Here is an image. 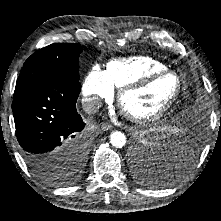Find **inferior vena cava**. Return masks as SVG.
Returning <instances> with one entry per match:
<instances>
[{
  "label": "inferior vena cava",
  "instance_id": "obj_1",
  "mask_svg": "<svg viewBox=\"0 0 221 221\" xmlns=\"http://www.w3.org/2000/svg\"><path fill=\"white\" fill-rule=\"evenodd\" d=\"M102 102L99 98L92 97V98H85L82 101L83 110L87 114H93L97 112V110L101 107Z\"/></svg>",
  "mask_w": 221,
  "mask_h": 221
}]
</instances>
